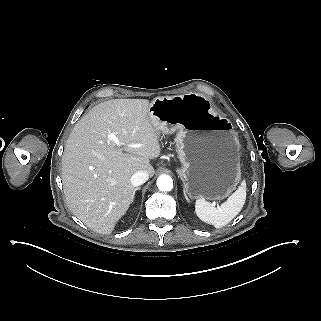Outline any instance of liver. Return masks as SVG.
Wrapping results in <instances>:
<instances>
[{
	"label": "liver",
	"mask_w": 321,
	"mask_h": 321,
	"mask_svg": "<svg viewBox=\"0 0 321 321\" xmlns=\"http://www.w3.org/2000/svg\"><path fill=\"white\" fill-rule=\"evenodd\" d=\"M149 106L148 99L98 104L67 140L62 157L65 198L73 214L95 232L111 234L125 216L135 172L154 176L150 160L159 158L162 148Z\"/></svg>",
	"instance_id": "6515ba94"
}]
</instances>
